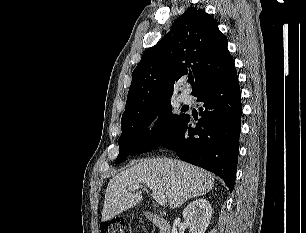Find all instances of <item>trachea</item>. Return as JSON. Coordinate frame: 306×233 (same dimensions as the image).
I'll return each instance as SVG.
<instances>
[{"label":"trachea","instance_id":"obj_1","mask_svg":"<svg viewBox=\"0 0 306 233\" xmlns=\"http://www.w3.org/2000/svg\"><path fill=\"white\" fill-rule=\"evenodd\" d=\"M193 81H194L193 78H189V79H188V82H189V83H193Z\"/></svg>","mask_w":306,"mask_h":233}]
</instances>
